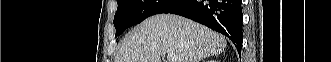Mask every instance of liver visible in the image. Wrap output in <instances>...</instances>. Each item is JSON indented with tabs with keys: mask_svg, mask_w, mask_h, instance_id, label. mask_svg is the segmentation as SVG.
<instances>
[{
	"mask_svg": "<svg viewBox=\"0 0 331 62\" xmlns=\"http://www.w3.org/2000/svg\"><path fill=\"white\" fill-rule=\"evenodd\" d=\"M221 34L174 14L152 16L131 30L122 40L115 62H161L173 54L176 62H200L224 51Z\"/></svg>",
	"mask_w": 331,
	"mask_h": 62,
	"instance_id": "1",
	"label": "liver"
}]
</instances>
